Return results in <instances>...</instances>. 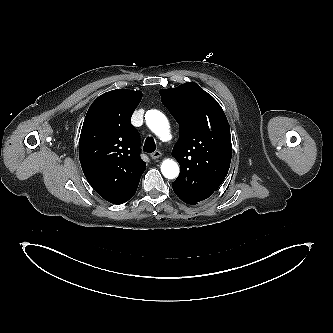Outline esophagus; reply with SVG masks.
<instances>
[{"instance_id":"obj_1","label":"esophagus","mask_w":333,"mask_h":333,"mask_svg":"<svg viewBox=\"0 0 333 333\" xmlns=\"http://www.w3.org/2000/svg\"><path fill=\"white\" fill-rule=\"evenodd\" d=\"M161 156H162V153L159 150H156L150 154V157L154 160L160 158Z\"/></svg>"}]
</instances>
